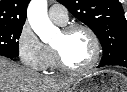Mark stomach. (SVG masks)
I'll return each instance as SVG.
<instances>
[{
	"instance_id": "stomach-1",
	"label": "stomach",
	"mask_w": 127,
	"mask_h": 92,
	"mask_svg": "<svg viewBox=\"0 0 127 92\" xmlns=\"http://www.w3.org/2000/svg\"><path fill=\"white\" fill-rule=\"evenodd\" d=\"M70 92H127V77L112 70L91 71L81 76Z\"/></svg>"
}]
</instances>
